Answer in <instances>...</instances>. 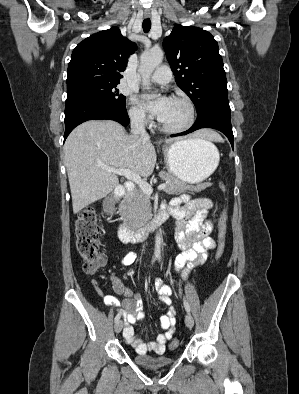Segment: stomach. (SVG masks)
I'll list each match as a JSON object with an SVG mask.
<instances>
[{
  "label": "stomach",
  "mask_w": 299,
  "mask_h": 394,
  "mask_svg": "<svg viewBox=\"0 0 299 394\" xmlns=\"http://www.w3.org/2000/svg\"><path fill=\"white\" fill-rule=\"evenodd\" d=\"M209 141L192 138L179 140L163 149L167 170L177 179L198 184L217 168L219 152Z\"/></svg>",
  "instance_id": "1"
}]
</instances>
